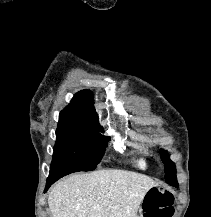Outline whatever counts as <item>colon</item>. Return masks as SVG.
<instances>
[{
  "mask_svg": "<svg viewBox=\"0 0 211 217\" xmlns=\"http://www.w3.org/2000/svg\"><path fill=\"white\" fill-rule=\"evenodd\" d=\"M173 204L174 197L170 192L153 188L145 199L144 217H171Z\"/></svg>",
  "mask_w": 211,
  "mask_h": 217,
  "instance_id": "1",
  "label": "colon"
}]
</instances>
